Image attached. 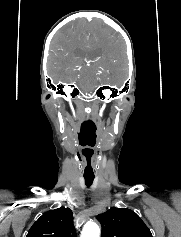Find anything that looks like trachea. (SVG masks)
Segmentation results:
<instances>
[{
	"instance_id": "3493384b",
	"label": "trachea",
	"mask_w": 181,
	"mask_h": 237,
	"mask_svg": "<svg viewBox=\"0 0 181 237\" xmlns=\"http://www.w3.org/2000/svg\"><path fill=\"white\" fill-rule=\"evenodd\" d=\"M94 178L93 177H85V184L86 186H91L93 183Z\"/></svg>"
}]
</instances>
